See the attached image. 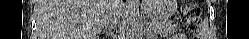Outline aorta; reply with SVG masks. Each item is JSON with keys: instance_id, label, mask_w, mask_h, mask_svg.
<instances>
[{"instance_id": "1", "label": "aorta", "mask_w": 249, "mask_h": 39, "mask_svg": "<svg viewBox=\"0 0 249 39\" xmlns=\"http://www.w3.org/2000/svg\"><path fill=\"white\" fill-rule=\"evenodd\" d=\"M140 24L139 0H127L126 5V37L134 39L138 37Z\"/></svg>"}]
</instances>
